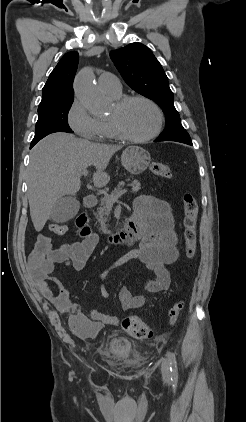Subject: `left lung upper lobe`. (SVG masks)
<instances>
[{
    "instance_id": "left-lung-upper-lobe-1",
    "label": "left lung upper lobe",
    "mask_w": 246,
    "mask_h": 422,
    "mask_svg": "<svg viewBox=\"0 0 246 422\" xmlns=\"http://www.w3.org/2000/svg\"><path fill=\"white\" fill-rule=\"evenodd\" d=\"M110 57L125 82L139 94L156 102L166 117V127L157 141H191L174 107L168 78L151 50L141 43H131L110 52Z\"/></svg>"
}]
</instances>
